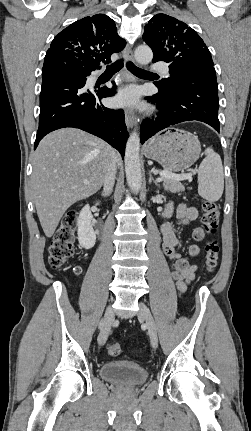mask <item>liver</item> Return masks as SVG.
<instances>
[{
    "label": "liver",
    "instance_id": "6515ba94",
    "mask_svg": "<svg viewBox=\"0 0 251 431\" xmlns=\"http://www.w3.org/2000/svg\"><path fill=\"white\" fill-rule=\"evenodd\" d=\"M112 156L120 162L108 143L75 128L56 130L41 140L33 157L31 183L37 215L48 238L70 206L101 188Z\"/></svg>",
    "mask_w": 251,
    "mask_h": 431
}]
</instances>
